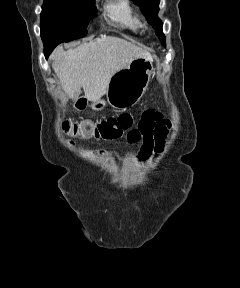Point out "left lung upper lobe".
<instances>
[{
	"mask_svg": "<svg viewBox=\"0 0 240 288\" xmlns=\"http://www.w3.org/2000/svg\"><path fill=\"white\" fill-rule=\"evenodd\" d=\"M136 4H138L146 19L153 25L156 30V35L160 38L163 45H165V36L162 32V22L159 20L157 14L159 11V2L160 0H133Z\"/></svg>",
	"mask_w": 240,
	"mask_h": 288,
	"instance_id": "1",
	"label": "left lung upper lobe"
}]
</instances>
